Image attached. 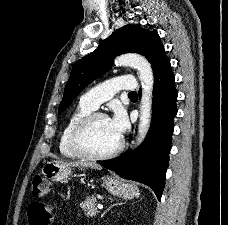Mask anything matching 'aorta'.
Listing matches in <instances>:
<instances>
[{"mask_svg": "<svg viewBox=\"0 0 228 225\" xmlns=\"http://www.w3.org/2000/svg\"><path fill=\"white\" fill-rule=\"evenodd\" d=\"M116 66H134L137 68L139 78L142 82V98L140 106V117L138 125V135L136 145L143 143L151 123V106H152V90H153V70L147 58L141 54H120L115 58Z\"/></svg>", "mask_w": 228, "mask_h": 225, "instance_id": "1", "label": "aorta"}]
</instances>
